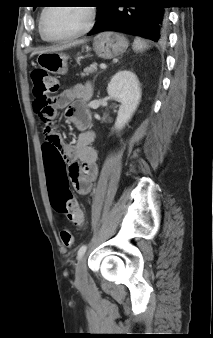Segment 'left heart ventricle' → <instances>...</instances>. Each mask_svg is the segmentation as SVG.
<instances>
[{
  "instance_id": "1",
  "label": "left heart ventricle",
  "mask_w": 213,
  "mask_h": 338,
  "mask_svg": "<svg viewBox=\"0 0 213 338\" xmlns=\"http://www.w3.org/2000/svg\"><path fill=\"white\" fill-rule=\"evenodd\" d=\"M87 22L83 7H54L46 18L44 32L49 38H59L79 31Z\"/></svg>"
}]
</instances>
